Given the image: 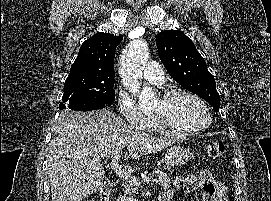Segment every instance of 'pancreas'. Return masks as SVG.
<instances>
[{
	"mask_svg": "<svg viewBox=\"0 0 271 201\" xmlns=\"http://www.w3.org/2000/svg\"><path fill=\"white\" fill-rule=\"evenodd\" d=\"M158 174V182L159 185L161 186V188L163 189H169L171 187V183H170V179L166 174H162L160 172L157 173ZM124 193L126 195H132L136 193V188L132 185H125L124 186Z\"/></svg>",
	"mask_w": 271,
	"mask_h": 201,
	"instance_id": "pancreas-1",
	"label": "pancreas"
}]
</instances>
